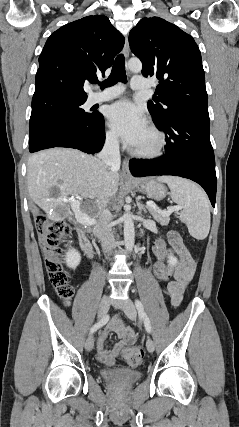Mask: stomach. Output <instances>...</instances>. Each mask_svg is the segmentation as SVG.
<instances>
[{"mask_svg":"<svg viewBox=\"0 0 239 427\" xmlns=\"http://www.w3.org/2000/svg\"><path fill=\"white\" fill-rule=\"evenodd\" d=\"M130 186L141 194H145L149 198L156 200L163 199L167 193V189L163 184L151 178L136 180L130 183Z\"/></svg>","mask_w":239,"mask_h":427,"instance_id":"stomach-1","label":"stomach"}]
</instances>
